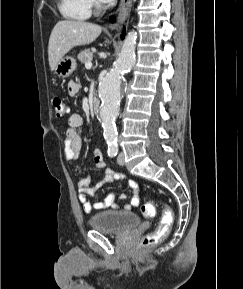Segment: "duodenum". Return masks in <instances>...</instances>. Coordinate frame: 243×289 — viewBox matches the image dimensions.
Instances as JSON below:
<instances>
[{
  "label": "duodenum",
  "mask_w": 243,
  "mask_h": 289,
  "mask_svg": "<svg viewBox=\"0 0 243 289\" xmlns=\"http://www.w3.org/2000/svg\"><path fill=\"white\" fill-rule=\"evenodd\" d=\"M92 109L94 113H98L100 110V101L97 98L92 102Z\"/></svg>",
  "instance_id": "410a0bca"
}]
</instances>
